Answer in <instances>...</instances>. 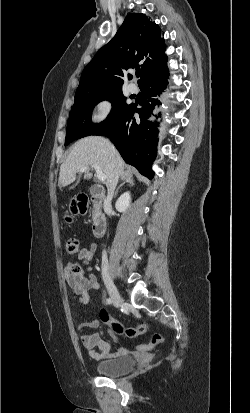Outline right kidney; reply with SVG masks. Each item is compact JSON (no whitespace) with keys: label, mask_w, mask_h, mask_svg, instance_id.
<instances>
[{"label":"right kidney","mask_w":250,"mask_h":413,"mask_svg":"<svg viewBox=\"0 0 250 413\" xmlns=\"http://www.w3.org/2000/svg\"><path fill=\"white\" fill-rule=\"evenodd\" d=\"M131 196L129 192L123 193L116 201L115 208L117 211L123 213L130 207Z\"/></svg>","instance_id":"1"}]
</instances>
